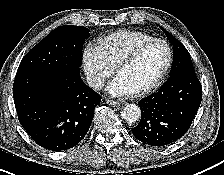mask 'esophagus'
<instances>
[{"instance_id": "obj_1", "label": "esophagus", "mask_w": 224, "mask_h": 175, "mask_svg": "<svg viewBox=\"0 0 224 175\" xmlns=\"http://www.w3.org/2000/svg\"><path fill=\"white\" fill-rule=\"evenodd\" d=\"M106 103L109 105V106H113V107H118L120 106V102L118 101H115V100H111V99H107L106 100Z\"/></svg>"}]
</instances>
